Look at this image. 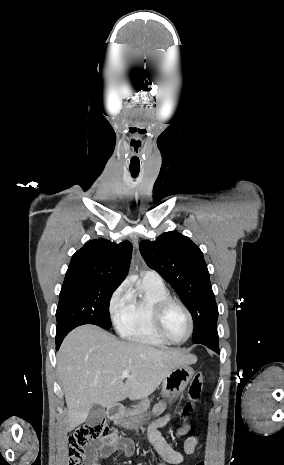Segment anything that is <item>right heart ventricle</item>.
<instances>
[{
	"label": "right heart ventricle",
	"instance_id": "obj_1",
	"mask_svg": "<svg viewBox=\"0 0 284 465\" xmlns=\"http://www.w3.org/2000/svg\"><path fill=\"white\" fill-rule=\"evenodd\" d=\"M142 282L140 296L133 297L115 319L117 332L136 346H166L155 333L153 321L157 305L172 296L164 282Z\"/></svg>",
	"mask_w": 284,
	"mask_h": 465
}]
</instances>
